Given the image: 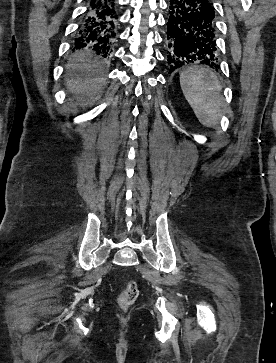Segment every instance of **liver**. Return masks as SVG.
Here are the masks:
<instances>
[{
  "instance_id": "liver-1",
  "label": "liver",
  "mask_w": 276,
  "mask_h": 363,
  "mask_svg": "<svg viewBox=\"0 0 276 363\" xmlns=\"http://www.w3.org/2000/svg\"><path fill=\"white\" fill-rule=\"evenodd\" d=\"M66 69L69 72L67 89L79 102L88 101L100 91L103 68L91 52L76 51L69 58Z\"/></svg>"
}]
</instances>
